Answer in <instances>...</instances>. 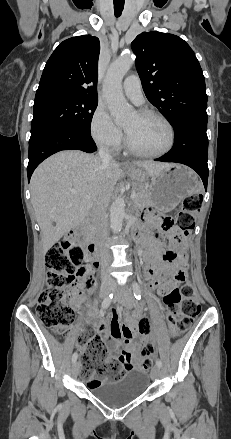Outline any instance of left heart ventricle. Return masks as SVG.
I'll return each instance as SVG.
<instances>
[{
    "label": "left heart ventricle",
    "mask_w": 231,
    "mask_h": 439,
    "mask_svg": "<svg viewBox=\"0 0 231 439\" xmlns=\"http://www.w3.org/2000/svg\"><path fill=\"white\" fill-rule=\"evenodd\" d=\"M130 143L137 150L147 153L165 148L169 132L165 124L156 117L132 115L124 124Z\"/></svg>",
    "instance_id": "b2bd125f"
}]
</instances>
